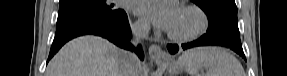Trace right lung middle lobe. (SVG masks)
<instances>
[{
    "label": "right lung middle lobe",
    "mask_w": 287,
    "mask_h": 76,
    "mask_svg": "<svg viewBox=\"0 0 287 76\" xmlns=\"http://www.w3.org/2000/svg\"><path fill=\"white\" fill-rule=\"evenodd\" d=\"M124 13L108 0H60L56 35L83 25L112 22Z\"/></svg>",
    "instance_id": "right-lung-middle-lobe-1"
}]
</instances>
